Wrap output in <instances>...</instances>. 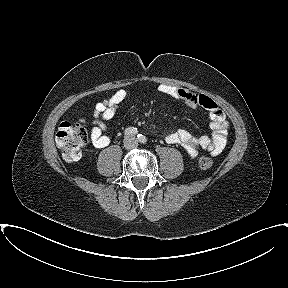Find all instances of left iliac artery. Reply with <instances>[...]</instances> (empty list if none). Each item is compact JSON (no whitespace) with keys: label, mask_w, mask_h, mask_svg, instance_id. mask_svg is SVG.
I'll return each instance as SVG.
<instances>
[{"label":"left iliac artery","mask_w":288,"mask_h":288,"mask_svg":"<svg viewBox=\"0 0 288 288\" xmlns=\"http://www.w3.org/2000/svg\"><path fill=\"white\" fill-rule=\"evenodd\" d=\"M137 138L141 143H146V141H147L146 137L143 136L142 134H138Z\"/></svg>","instance_id":"obj_1"}]
</instances>
